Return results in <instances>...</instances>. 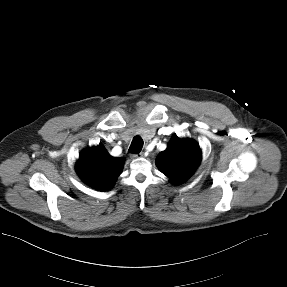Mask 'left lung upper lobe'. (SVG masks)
<instances>
[{"label":"left lung upper lobe","mask_w":287,"mask_h":287,"mask_svg":"<svg viewBox=\"0 0 287 287\" xmlns=\"http://www.w3.org/2000/svg\"><path fill=\"white\" fill-rule=\"evenodd\" d=\"M200 161L199 145L191 139H180L174 135L167 149L157 156L156 165L173 184H180L194 173Z\"/></svg>","instance_id":"left-lung-upper-lobe-1"}]
</instances>
